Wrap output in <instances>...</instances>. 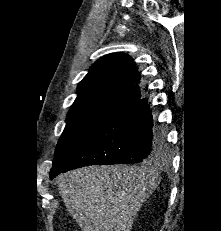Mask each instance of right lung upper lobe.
<instances>
[{
    "instance_id": "right-lung-upper-lobe-1",
    "label": "right lung upper lobe",
    "mask_w": 221,
    "mask_h": 231,
    "mask_svg": "<svg viewBox=\"0 0 221 231\" xmlns=\"http://www.w3.org/2000/svg\"><path fill=\"white\" fill-rule=\"evenodd\" d=\"M139 83V72L128 54H108L91 66L77 87L78 95L73 104L96 97H115L133 102L141 98Z\"/></svg>"
}]
</instances>
